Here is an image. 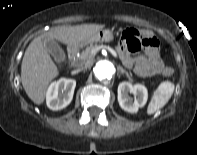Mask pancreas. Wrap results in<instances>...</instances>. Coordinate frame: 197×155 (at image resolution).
<instances>
[{"label": "pancreas", "instance_id": "pancreas-1", "mask_svg": "<svg viewBox=\"0 0 197 155\" xmlns=\"http://www.w3.org/2000/svg\"><path fill=\"white\" fill-rule=\"evenodd\" d=\"M100 49V45L91 44L84 51H82L80 56L77 58L78 63L82 65L89 62L93 58V55Z\"/></svg>", "mask_w": 197, "mask_h": 155}]
</instances>
